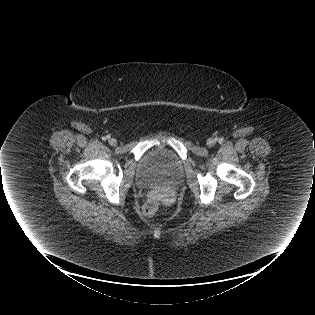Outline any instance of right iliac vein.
<instances>
[{
	"label": "right iliac vein",
	"instance_id": "1",
	"mask_svg": "<svg viewBox=\"0 0 315 315\" xmlns=\"http://www.w3.org/2000/svg\"><path fill=\"white\" fill-rule=\"evenodd\" d=\"M108 142H109V144L112 145V146H116V145H117V140L114 139V138L109 139Z\"/></svg>",
	"mask_w": 315,
	"mask_h": 315
}]
</instances>
